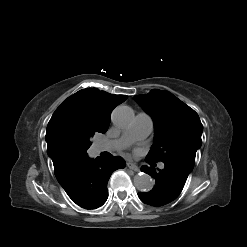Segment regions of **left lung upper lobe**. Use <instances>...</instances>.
I'll use <instances>...</instances> for the list:
<instances>
[{
    "label": "left lung upper lobe",
    "instance_id": "obj_1",
    "mask_svg": "<svg viewBox=\"0 0 247 247\" xmlns=\"http://www.w3.org/2000/svg\"><path fill=\"white\" fill-rule=\"evenodd\" d=\"M134 99L154 121V144L147 158L190 173L202 142L203 125L198 114L168 91L153 89Z\"/></svg>",
    "mask_w": 247,
    "mask_h": 247
}]
</instances>
